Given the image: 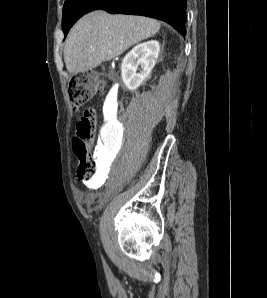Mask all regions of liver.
Segmentation results:
<instances>
[{
    "label": "liver",
    "mask_w": 267,
    "mask_h": 298,
    "mask_svg": "<svg viewBox=\"0 0 267 298\" xmlns=\"http://www.w3.org/2000/svg\"><path fill=\"white\" fill-rule=\"evenodd\" d=\"M160 23L132 15L97 10L84 15L71 29L64 48L69 73L92 70L121 55L129 47L155 35Z\"/></svg>",
    "instance_id": "obj_1"
}]
</instances>
